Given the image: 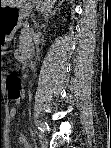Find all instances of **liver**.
I'll list each match as a JSON object with an SVG mask.
<instances>
[{"label":"liver","instance_id":"obj_1","mask_svg":"<svg viewBox=\"0 0 111 148\" xmlns=\"http://www.w3.org/2000/svg\"><path fill=\"white\" fill-rule=\"evenodd\" d=\"M24 0H2V6H19Z\"/></svg>","mask_w":111,"mask_h":148}]
</instances>
